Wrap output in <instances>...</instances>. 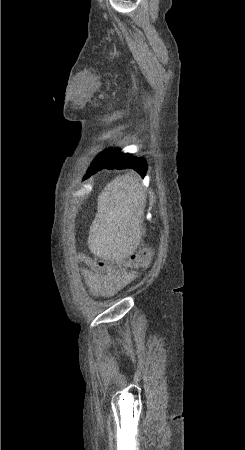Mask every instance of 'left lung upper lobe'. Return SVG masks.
<instances>
[{"instance_id":"obj_1","label":"left lung upper lobe","mask_w":245,"mask_h":450,"mask_svg":"<svg viewBox=\"0 0 245 450\" xmlns=\"http://www.w3.org/2000/svg\"><path fill=\"white\" fill-rule=\"evenodd\" d=\"M97 157H98V156H97ZM97 157H96V158H97ZM96 158H95V159H96ZM95 159H94V161H95ZM94 161L91 163V165L94 163Z\"/></svg>"}]
</instances>
